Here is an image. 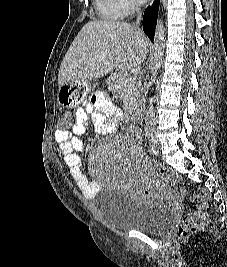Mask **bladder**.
Here are the masks:
<instances>
[{
	"instance_id": "31cf9c89",
	"label": "bladder",
	"mask_w": 227,
	"mask_h": 267,
	"mask_svg": "<svg viewBox=\"0 0 227 267\" xmlns=\"http://www.w3.org/2000/svg\"><path fill=\"white\" fill-rule=\"evenodd\" d=\"M101 193L103 218L114 229L158 233L174 219V211L156 200H136L115 188Z\"/></svg>"
}]
</instances>
